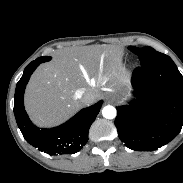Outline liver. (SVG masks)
<instances>
[{
	"label": "liver",
	"mask_w": 183,
	"mask_h": 183,
	"mask_svg": "<svg viewBox=\"0 0 183 183\" xmlns=\"http://www.w3.org/2000/svg\"><path fill=\"white\" fill-rule=\"evenodd\" d=\"M126 81L117 48L91 45L65 50L34 72L26 88L25 107L36 124H57L81 108L79 91L92 90L97 100L104 87L120 90Z\"/></svg>",
	"instance_id": "liver-1"
}]
</instances>
